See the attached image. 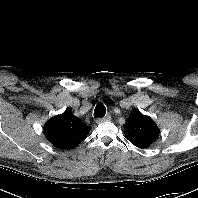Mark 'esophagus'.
<instances>
[{
	"label": "esophagus",
	"mask_w": 198,
	"mask_h": 198,
	"mask_svg": "<svg viewBox=\"0 0 198 198\" xmlns=\"http://www.w3.org/2000/svg\"><path fill=\"white\" fill-rule=\"evenodd\" d=\"M111 120V116L110 115H107L106 117H103V118H97L96 119V123H102V122H105V121H110Z\"/></svg>",
	"instance_id": "obj_1"
}]
</instances>
